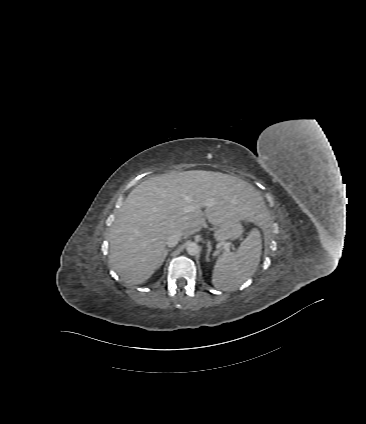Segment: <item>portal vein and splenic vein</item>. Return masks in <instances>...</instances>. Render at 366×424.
I'll use <instances>...</instances> for the list:
<instances>
[{
    "mask_svg": "<svg viewBox=\"0 0 366 424\" xmlns=\"http://www.w3.org/2000/svg\"><path fill=\"white\" fill-rule=\"evenodd\" d=\"M208 205V203H204V204H198V205H196L195 207L196 208H201V207H203V206H207ZM230 248V245H229V243H225L224 244V249H225V251L226 252H229V249Z\"/></svg>",
    "mask_w": 366,
    "mask_h": 424,
    "instance_id": "portal-vein-and-splenic-vein-1",
    "label": "portal vein and splenic vein"
}]
</instances>
